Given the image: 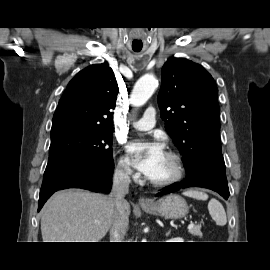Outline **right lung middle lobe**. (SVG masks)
<instances>
[{"instance_id":"dd1d6c3e","label":"right lung middle lobe","mask_w":270,"mask_h":270,"mask_svg":"<svg viewBox=\"0 0 270 270\" xmlns=\"http://www.w3.org/2000/svg\"><path fill=\"white\" fill-rule=\"evenodd\" d=\"M113 129L63 125L51 130L47 167L80 156L88 157L100 169L114 166Z\"/></svg>"}]
</instances>
